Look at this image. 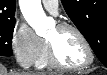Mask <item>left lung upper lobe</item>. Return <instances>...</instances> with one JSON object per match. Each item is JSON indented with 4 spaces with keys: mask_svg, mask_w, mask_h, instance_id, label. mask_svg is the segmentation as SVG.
Segmentation results:
<instances>
[{
    "mask_svg": "<svg viewBox=\"0 0 107 75\" xmlns=\"http://www.w3.org/2000/svg\"><path fill=\"white\" fill-rule=\"evenodd\" d=\"M64 9L94 52L105 51L107 67V0H61Z\"/></svg>",
    "mask_w": 107,
    "mask_h": 75,
    "instance_id": "obj_1",
    "label": "left lung upper lobe"
}]
</instances>
